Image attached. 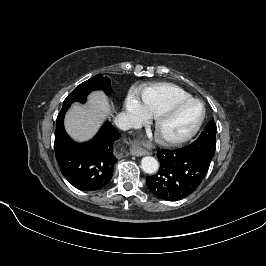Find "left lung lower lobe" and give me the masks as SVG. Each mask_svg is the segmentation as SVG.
Listing matches in <instances>:
<instances>
[{"label": "left lung lower lobe", "mask_w": 266, "mask_h": 266, "mask_svg": "<svg viewBox=\"0 0 266 266\" xmlns=\"http://www.w3.org/2000/svg\"><path fill=\"white\" fill-rule=\"evenodd\" d=\"M157 155L160 169L157 174L147 176L146 184L155 196L169 201L180 200L193 193L205 178L210 165L186 147L163 149Z\"/></svg>", "instance_id": "obj_1"}]
</instances>
